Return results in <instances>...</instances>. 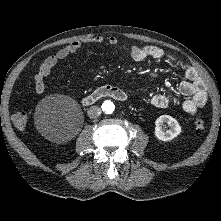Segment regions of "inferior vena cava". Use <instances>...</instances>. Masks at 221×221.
<instances>
[{
	"label": "inferior vena cava",
	"instance_id": "obj_1",
	"mask_svg": "<svg viewBox=\"0 0 221 221\" xmlns=\"http://www.w3.org/2000/svg\"><path fill=\"white\" fill-rule=\"evenodd\" d=\"M87 114L91 119L97 118L101 115V108L99 106H91L88 109Z\"/></svg>",
	"mask_w": 221,
	"mask_h": 221
}]
</instances>
